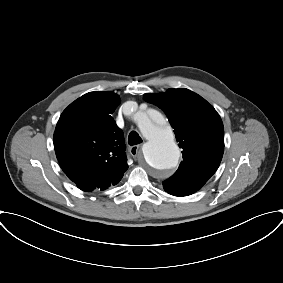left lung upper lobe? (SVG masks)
<instances>
[{
	"label": "left lung upper lobe",
	"instance_id": "left-lung-upper-lobe-1",
	"mask_svg": "<svg viewBox=\"0 0 283 283\" xmlns=\"http://www.w3.org/2000/svg\"><path fill=\"white\" fill-rule=\"evenodd\" d=\"M159 106L174 128L183 161L163 182L164 189H200L216 172L224 151V128L215 109L201 96L184 88L145 95Z\"/></svg>",
	"mask_w": 283,
	"mask_h": 283
}]
</instances>
